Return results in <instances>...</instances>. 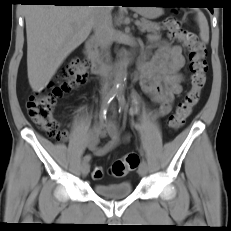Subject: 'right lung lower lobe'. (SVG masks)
<instances>
[{
    "label": "right lung lower lobe",
    "mask_w": 231,
    "mask_h": 231,
    "mask_svg": "<svg viewBox=\"0 0 231 231\" xmlns=\"http://www.w3.org/2000/svg\"><path fill=\"white\" fill-rule=\"evenodd\" d=\"M79 1L81 0H23L22 2L49 3V4H54V5H84L83 2H79Z\"/></svg>",
    "instance_id": "obj_1"
}]
</instances>
